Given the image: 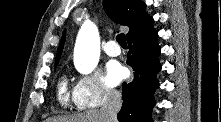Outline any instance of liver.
I'll list each match as a JSON object with an SVG mask.
<instances>
[{
	"label": "liver",
	"instance_id": "1",
	"mask_svg": "<svg viewBox=\"0 0 221 122\" xmlns=\"http://www.w3.org/2000/svg\"><path fill=\"white\" fill-rule=\"evenodd\" d=\"M45 122H107L101 110H89L72 117L48 118Z\"/></svg>",
	"mask_w": 221,
	"mask_h": 122
}]
</instances>
